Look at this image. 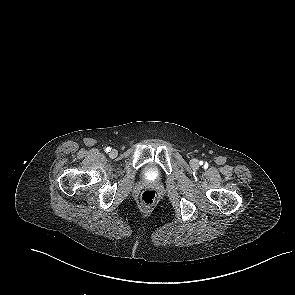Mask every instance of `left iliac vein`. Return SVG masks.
<instances>
[{
	"instance_id": "obj_1",
	"label": "left iliac vein",
	"mask_w": 295,
	"mask_h": 295,
	"mask_svg": "<svg viewBox=\"0 0 295 295\" xmlns=\"http://www.w3.org/2000/svg\"><path fill=\"white\" fill-rule=\"evenodd\" d=\"M190 165H191L192 168L197 169L199 167V161L197 159H195V158L191 159Z\"/></svg>"
}]
</instances>
